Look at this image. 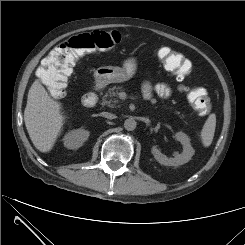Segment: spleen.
<instances>
[{
	"mask_svg": "<svg viewBox=\"0 0 245 245\" xmlns=\"http://www.w3.org/2000/svg\"><path fill=\"white\" fill-rule=\"evenodd\" d=\"M216 128V115H209L201 130V140L204 147H209L213 141Z\"/></svg>",
	"mask_w": 245,
	"mask_h": 245,
	"instance_id": "1",
	"label": "spleen"
}]
</instances>
